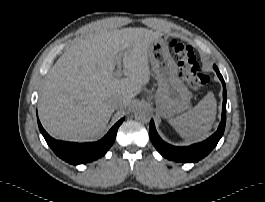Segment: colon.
Wrapping results in <instances>:
<instances>
[{
  "instance_id": "1",
  "label": "colon",
  "mask_w": 265,
  "mask_h": 202,
  "mask_svg": "<svg viewBox=\"0 0 265 202\" xmlns=\"http://www.w3.org/2000/svg\"><path fill=\"white\" fill-rule=\"evenodd\" d=\"M170 46L180 67L183 80L195 89L204 85L208 76L201 70L194 49L177 39L172 40Z\"/></svg>"
}]
</instances>
